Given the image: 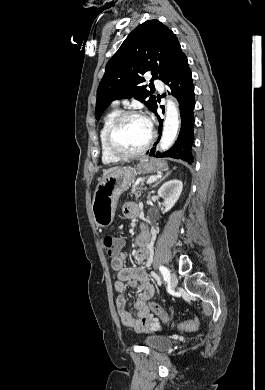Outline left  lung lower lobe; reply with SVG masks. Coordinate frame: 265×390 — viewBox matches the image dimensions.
Wrapping results in <instances>:
<instances>
[{
	"label": "left lung lower lobe",
	"instance_id": "1",
	"mask_svg": "<svg viewBox=\"0 0 265 390\" xmlns=\"http://www.w3.org/2000/svg\"><path fill=\"white\" fill-rule=\"evenodd\" d=\"M163 82L169 86L172 94L176 96L179 102L181 129L175 144L168 151L159 153L154 147L147 154L153 157H171L192 163L193 156L191 154V147L194 139L193 109L195 106V99L192 74L188 65L187 57L183 52L179 55L169 75ZM153 112L157 115V105ZM157 117L160 123L159 131L161 134L163 120H161L158 115ZM156 144L157 142L155 145Z\"/></svg>",
	"mask_w": 265,
	"mask_h": 390
}]
</instances>
